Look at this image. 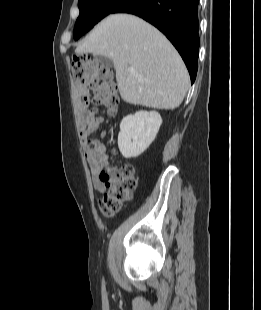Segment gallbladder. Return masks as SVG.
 Here are the masks:
<instances>
[{"label": "gallbladder", "instance_id": "bac80fb5", "mask_svg": "<svg viewBox=\"0 0 261 310\" xmlns=\"http://www.w3.org/2000/svg\"><path fill=\"white\" fill-rule=\"evenodd\" d=\"M95 62H97L98 64H100L101 66H105V67H112L113 63L112 60L104 55H96L94 57Z\"/></svg>", "mask_w": 261, "mask_h": 310}]
</instances>
